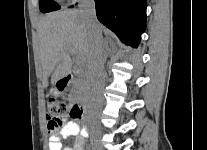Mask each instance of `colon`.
Wrapping results in <instances>:
<instances>
[{"mask_svg": "<svg viewBox=\"0 0 207 150\" xmlns=\"http://www.w3.org/2000/svg\"><path fill=\"white\" fill-rule=\"evenodd\" d=\"M68 110L67 104L55 98H50L46 102V119L48 121V127L50 130H54L59 127L63 117ZM72 115L76 119H80L81 115L76 108L72 110Z\"/></svg>", "mask_w": 207, "mask_h": 150, "instance_id": "1", "label": "colon"}]
</instances>
